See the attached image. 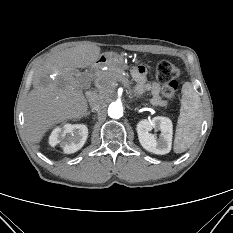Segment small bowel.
I'll return each mask as SVG.
<instances>
[{
    "mask_svg": "<svg viewBox=\"0 0 233 233\" xmlns=\"http://www.w3.org/2000/svg\"><path fill=\"white\" fill-rule=\"evenodd\" d=\"M133 79L137 82L136 91L137 93L151 92L152 103L157 106H162L165 104L164 100L160 95L161 86L159 83H149L147 82V69L138 65L132 68L131 71Z\"/></svg>",
    "mask_w": 233,
    "mask_h": 233,
    "instance_id": "small-bowel-1",
    "label": "small bowel"
}]
</instances>
